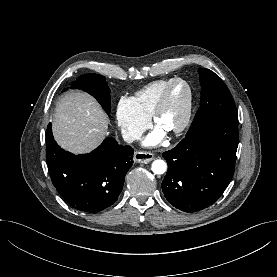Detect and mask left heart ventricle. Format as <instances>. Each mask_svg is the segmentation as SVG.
Instances as JSON below:
<instances>
[{
	"label": "left heart ventricle",
	"instance_id": "obj_1",
	"mask_svg": "<svg viewBox=\"0 0 277 277\" xmlns=\"http://www.w3.org/2000/svg\"><path fill=\"white\" fill-rule=\"evenodd\" d=\"M186 97L187 90L183 84H176L171 89L166 106L158 119L157 128L169 133L179 125Z\"/></svg>",
	"mask_w": 277,
	"mask_h": 277
}]
</instances>
